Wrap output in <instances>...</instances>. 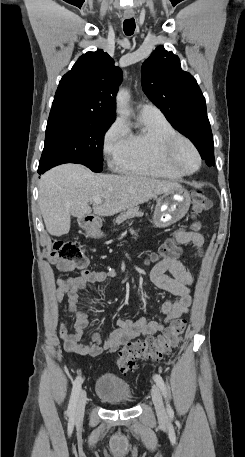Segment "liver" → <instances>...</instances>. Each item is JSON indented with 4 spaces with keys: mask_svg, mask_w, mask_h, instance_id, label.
<instances>
[{
    "mask_svg": "<svg viewBox=\"0 0 245 457\" xmlns=\"http://www.w3.org/2000/svg\"><path fill=\"white\" fill-rule=\"evenodd\" d=\"M180 186L143 174H94L82 164H59L42 174L38 202L48 233L62 237L69 233L71 214L80 218L92 212L88 202L94 214L111 216ZM94 196L102 202H94Z\"/></svg>",
    "mask_w": 245,
    "mask_h": 457,
    "instance_id": "obj_1",
    "label": "liver"
}]
</instances>
